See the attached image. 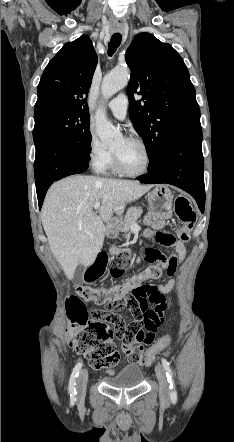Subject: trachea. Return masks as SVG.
Returning <instances> with one entry per match:
<instances>
[{"mask_svg": "<svg viewBox=\"0 0 234 442\" xmlns=\"http://www.w3.org/2000/svg\"><path fill=\"white\" fill-rule=\"evenodd\" d=\"M121 35L114 34L108 43V55L112 56L121 43Z\"/></svg>", "mask_w": 234, "mask_h": 442, "instance_id": "obj_1", "label": "trachea"}]
</instances>
